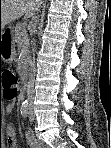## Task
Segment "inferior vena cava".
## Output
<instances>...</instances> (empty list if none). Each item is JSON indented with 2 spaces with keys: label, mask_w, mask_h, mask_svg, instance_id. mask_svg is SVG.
Returning a JSON list of instances; mask_svg holds the SVG:
<instances>
[{
  "label": "inferior vena cava",
  "mask_w": 111,
  "mask_h": 148,
  "mask_svg": "<svg viewBox=\"0 0 111 148\" xmlns=\"http://www.w3.org/2000/svg\"><path fill=\"white\" fill-rule=\"evenodd\" d=\"M37 13H38V9H37ZM32 21H33V27L35 28L38 21H39V17L38 15H35V13L32 16ZM33 51H35L33 49ZM35 76H36V67H35V61H34V57H33V61L31 63V67H30V73H29V81H28V87H27V96L28 99H33L34 97V82H35Z\"/></svg>",
  "instance_id": "602c4592"
}]
</instances>
